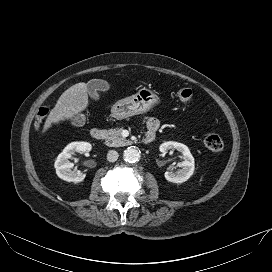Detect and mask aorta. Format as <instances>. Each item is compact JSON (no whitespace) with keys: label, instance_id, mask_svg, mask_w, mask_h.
<instances>
[{"label":"aorta","instance_id":"1","mask_svg":"<svg viewBox=\"0 0 272 272\" xmlns=\"http://www.w3.org/2000/svg\"><path fill=\"white\" fill-rule=\"evenodd\" d=\"M124 160L135 163L140 160V151L134 147H128L123 153Z\"/></svg>","mask_w":272,"mask_h":272}]
</instances>
